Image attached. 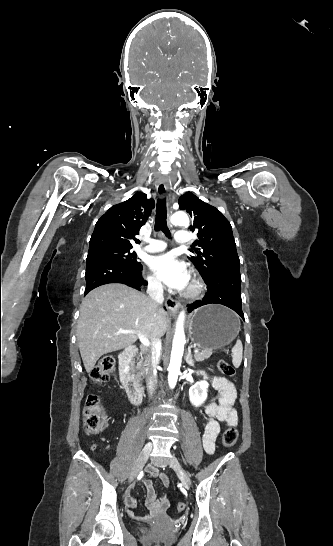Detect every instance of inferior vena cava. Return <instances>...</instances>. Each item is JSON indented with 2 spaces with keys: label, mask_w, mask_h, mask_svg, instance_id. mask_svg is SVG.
<instances>
[{
  "label": "inferior vena cava",
  "mask_w": 333,
  "mask_h": 546,
  "mask_svg": "<svg viewBox=\"0 0 333 546\" xmlns=\"http://www.w3.org/2000/svg\"><path fill=\"white\" fill-rule=\"evenodd\" d=\"M147 293L150 296V298L154 301L157 307H159V305L163 303L164 301L163 285L159 280L153 279L149 281V284L147 287ZM151 340L153 344L152 354L156 358L157 350L161 347V340H160V337H157L156 335H153ZM155 368H156V363L151 368V371L147 379V387L151 396L153 395L157 385V377H156V374L154 373Z\"/></svg>",
  "instance_id": "obj_1"
}]
</instances>
